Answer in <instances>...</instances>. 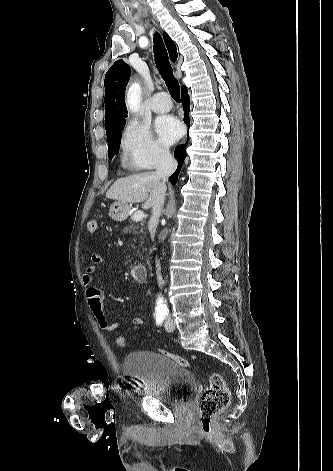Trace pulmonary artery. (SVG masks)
Wrapping results in <instances>:
<instances>
[{
	"mask_svg": "<svg viewBox=\"0 0 333 471\" xmlns=\"http://www.w3.org/2000/svg\"><path fill=\"white\" fill-rule=\"evenodd\" d=\"M151 108L156 113H165L171 110L172 102L166 93L159 92L152 97Z\"/></svg>",
	"mask_w": 333,
	"mask_h": 471,
	"instance_id": "e3ab8cb5",
	"label": "pulmonary artery"
}]
</instances>
